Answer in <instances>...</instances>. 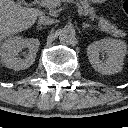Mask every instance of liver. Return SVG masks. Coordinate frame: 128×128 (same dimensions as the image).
Listing matches in <instances>:
<instances>
[{"label":"liver","instance_id":"liver-1","mask_svg":"<svg viewBox=\"0 0 128 128\" xmlns=\"http://www.w3.org/2000/svg\"><path fill=\"white\" fill-rule=\"evenodd\" d=\"M42 14L41 10L23 7L14 0H0V43L9 35L31 27Z\"/></svg>","mask_w":128,"mask_h":128}]
</instances>
